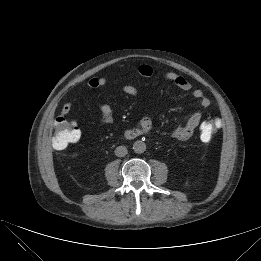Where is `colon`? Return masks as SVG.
<instances>
[{"label": "colon", "instance_id": "obj_1", "mask_svg": "<svg viewBox=\"0 0 261 261\" xmlns=\"http://www.w3.org/2000/svg\"><path fill=\"white\" fill-rule=\"evenodd\" d=\"M219 127V121L216 117L208 116L200 126V136L203 141H210ZM81 134L78 127L70 121L60 116L53 124L52 144L56 149H64L68 145L80 140Z\"/></svg>", "mask_w": 261, "mask_h": 261}]
</instances>
